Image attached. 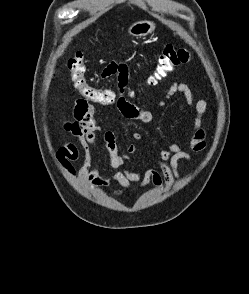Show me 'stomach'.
<instances>
[{
  "label": "stomach",
  "instance_id": "0dacf381",
  "mask_svg": "<svg viewBox=\"0 0 249 294\" xmlns=\"http://www.w3.org/2000/svg\"><path fill=\"white\" fill-rule=\"evenodd\" d=\"M155 29V23L152 21L148 20H143V21H137L133 23L129 28H128V33L129 35L136 37V38H141L145 37L148 34L152 33V31Z\"/></svg>",
  "mask_w": 249,
  "mask_h": 294
}]
</instances>
